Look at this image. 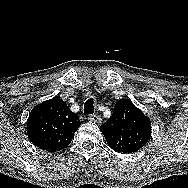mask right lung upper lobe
Wrapping results in <instances>:
<instances>
[{"mask_svg":"<svg viewBox=\"0 0 188 188\" xmlns=\"http://www.w3.org/2000/svg\"><path fill=\"white\" fill-rule=\"evenodd\" d=\"M79 126L77 114L60 98L54 97L32 109L27 122V135L40 149L56 152L69 145Z\"/></svg>","mask_w":188,"mask_h":188,"instance_id":"right-lung-upper-lobe-1","label":"right lung upper lobe"}]
</instances>
